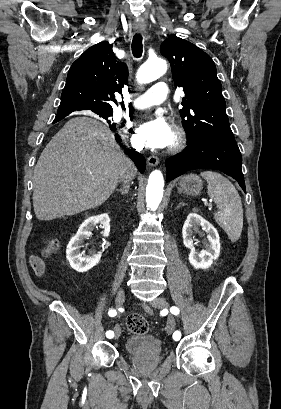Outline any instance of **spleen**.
Listing matches in <instances>:
<instances>
[{"label":"spleen","instance_id":"3e777b00","mask_svg":"<svg viewBox=\"0 0 281 409\" xmlns=\"http://www.w3.org/2000/svg\"><path fill=\"white\" fill-rule=\"evenodd\" d=\"M201 176L207 180V192L215 200L220 214L215 213V221L227 233L230 241L236 243L243 229V207L234 184L214 170H204Z\"/></svg>","mask_w":281,"mask_h":409}]
</instances>
